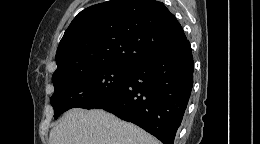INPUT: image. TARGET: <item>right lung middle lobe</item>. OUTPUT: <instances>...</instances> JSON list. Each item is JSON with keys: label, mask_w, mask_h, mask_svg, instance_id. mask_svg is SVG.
Here are the masks:
<instances>
[{"label": "right lung middle lobe", "mask_w": 260, "mask_h": 144, "mask_svg": "<svg viewBox=\"0 0 260 144\" xmlns=\"http://www.w3.org/2000/svg\"><path fill=\"white\" fill-rule=\"evenodd\" d=\"M130 67L98 65L52 77L54 118L80 107L88 109L115 94L127 81Z\"/></svg>", "instance_id": "right-lung-middle-lobe-1"}]
</instances>
